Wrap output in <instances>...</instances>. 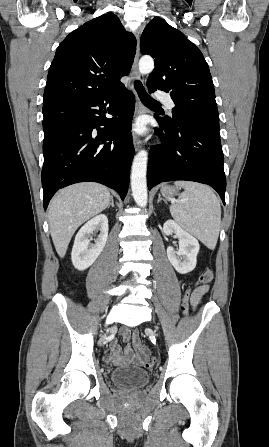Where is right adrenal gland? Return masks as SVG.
<instances>
[{"label":"right adrenal gland","mask_w":269,"mask_h":447,"mask_svg":"<svg viewBox=\"0 0 269 447\" xmlns=\"http://www.w3.org/2000/svg\"><path fill=\"white\" fill-rule=\"evenodd\" d=\"M110 206H112V208H115V206H114L113 196H111V202H110L108 208H110Z\"/></svg>","instance_id":"1"}]
</instances>
